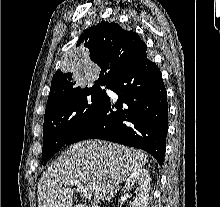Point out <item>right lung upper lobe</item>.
Returning a JSON list of instances; mask_svg holds the SVG:
<instances>
[{
  "label": "right lung upper lobe",
  "instance_id": "cb5924a9",
  "mask_svg": "<svg viewBox=\"0 0 220 207\" xmlns=\"http://www.w3.org/2000/svg\"><path fill=\"white\" fill-rule=\"evenodd\" d=\"M77 46L86 47L90 60L101 68L95 85L109 84L147 50V45L136 32L107 21L99 22L85 30L79 37ZM76 84L71 72L58 70L52 78L47 106L59 97L80 89Z\"/></svg>",
  "mask_w": 220,
  "mask_h": 207
}]
</instances>
